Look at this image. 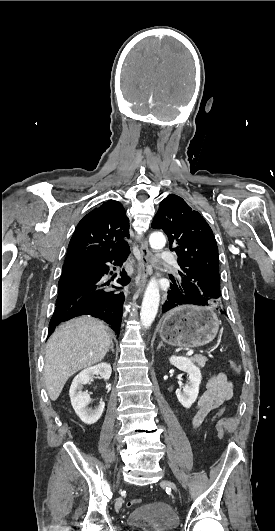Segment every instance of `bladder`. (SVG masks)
I'll use <instances>...</instances> for the list:
<instances>
[{"instance_id":"bladder-1","label":"bladder","mask_w":275,"mask_h":531,"mask_svg":"<svg viewBox=\"0 0 275 531\" xmlns=\"http://www.w3.org/2000/svg\"><path fill=\"white\" fill-rule=\"evenodd\" d=\"M129 522L137 531H176L179 526L176 513L164 502L139 505L130 512Z\"/></svg>"}]
</instances>
